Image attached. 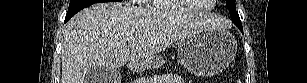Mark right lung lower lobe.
Returning <instances> with one entry per match:
<instances>
[{"mask_svg":"<svg viewBox=\"0 0 307 83\" xmlns=\"http://www.w3.org/2000/svg\"><path fill=\"white\" fill-rule=\"evenodd\" d=\"M70 18H65V22H67Z\"/></svg>","mask_w":307,"mask_h":83,"instance_id":"obj_1","label":"right lung lower lobe"}]
</instances>
